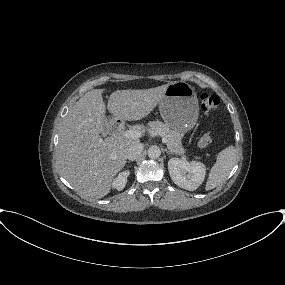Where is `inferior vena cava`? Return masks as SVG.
<instances>
[{
    "label": "inferior vena cava",
    "mask_w": 285,
    "mask_h": 285,
    "mask_svg": "<svg viewBox=\"0 0 285 285\" xmlns=\"http://www.w3.org/2000/svg\"><path fill=\"white\" fill-rule=\"evenodd\" d=\"M144 149V145L142 143H135L131 145L127 152V158L131 161L138 159Z\"/></svg>",
    "instance_id": "obj_1"
}]
</instances>
